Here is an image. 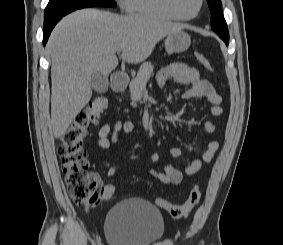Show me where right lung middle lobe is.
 Wrapping results in <instances>:
<instances>
[{
    "label": "right lung middle lobe",
    "instance_id": "right-lung-middle-lobe-1",
    "mask_svg": "<svg viewBox=\"0 0 283 245\" xmlns=\"http://www.w3.org/2000/svg\"><path fill=\"white\" fill-rule=\"evenodd\" d=\"M106 6L115 7L114 0H50L44 12V20L70 13L74 10L86 8Z\"/></svg>",
    "mask_w": 283,
    "mask_h": 245
}]
</instances>
